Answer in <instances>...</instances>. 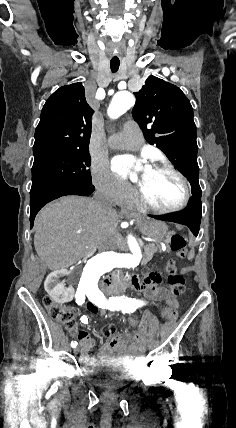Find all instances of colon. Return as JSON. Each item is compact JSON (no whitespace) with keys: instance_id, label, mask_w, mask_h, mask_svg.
Wrapping results in <instances>:
<instances>
[{"instance_id":"colon-1","label":"colon","mask_w":236,"mask_h":428,"mask_svg":"<svg viewBox=\"0 0 236 428\" xmlns=\"http://www.w3.org/2000/svg\"><path fill=\"white\" fill-rule=\"evenodd\" d=\"M170 247L178 256L184 257L186 255V242L183 236L173 235L170 242ZM168 274V285L173 295L179 296L184 293L186 284L185 279L177 272L176 263L173 259L167 262L166 266ZM44 306L50 317L64 325L71 334L75 333L74 329V314L68 307L55 302L50 297L46 296L43 300ZM90 311H96L92 305L88 306ZM163 315L170 321L174 320L177 315L176 306H168L163 309ZM130 326L136 324L134 319L128 321Z\"/></svg>"}]
</instances>
